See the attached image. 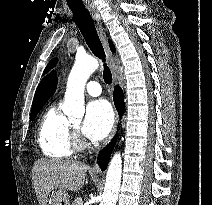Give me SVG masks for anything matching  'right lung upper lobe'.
<instances>
[{
  "label": "right lung upper lobe",
  "instance_id": "obj_1",
  "mask_svg": "<svg viewBox=\"0 0 212 205\" xmlns=\"http://www.w3.org/2000/svg\"><path fill=\"white\" fill-rule=\"evenodd\" d=\"M109 46L112 52H115L114 45L109 41ZM57 86L56 72L52 71L47 77L42 79L36 90L32 107L44 105L48 99L54 94Z\"/></svg>",
  "mask_w": 212,
  "mask_h": 205
}]
</instances>
